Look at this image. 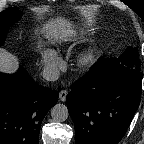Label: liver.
<instances>
[{
    "label": "liver",
    "mask_w": 144,
    "mask_h": 144,
    "mask_svg": "<svg viewBox=\"0 0 144 144\" xmlns=\"http://www.w3.org/2000/svg\"><path fill=\"white\" fill-rule=\"evenodd\" d=\"M46 31H48L49 35L60 38L70 37L75 34L72 24L63 18H57L50 22L46 26ZM17 66L18 60L16 56L0 49V71L13 73L16 71Z\"/></svg>",
    "instance_id": "6515ba94"
}]
</instances>
